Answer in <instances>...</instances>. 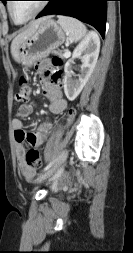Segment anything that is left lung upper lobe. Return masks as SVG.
<instances>
[{
	"label": "left lung upper lobe",
	"instance_id": "left-lung-upper-lobe-1",
	"mask_svg": "<svg viewBox=\"0 0 133 253\" xmlns=\"http://www.w3.org/2000/svg\"><path fill=\"white\" fill-rule=\"evenodd\" d=\"M0 1H2L4 3V5H5L7 0H0Z\"/></svg>",
	"mask_w": 133,
	"mask_h": 253
}]
</instances>
